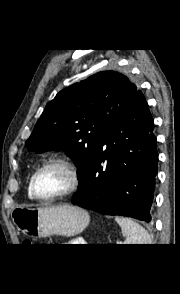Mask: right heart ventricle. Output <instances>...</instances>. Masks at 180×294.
Here are the masks:
<instances>
[{
	"instance_id": "right-heart-ventricle-1",
	"label": "right heart ventricle",
	"mask_w": 180,
	"mask_h": 294,
	"mask_svg": "<svg viewBox=\"0 0 180 294\" xmlns=\"http://www.w3.org/2000/svg\"><path fill=\"white\" fill-rule=\"evenodd\" d=\"M28 192H29V194H31V191H30V181L28 183Z\"/></svg>"
}]
</instances>
